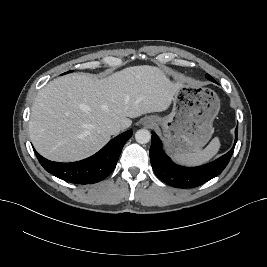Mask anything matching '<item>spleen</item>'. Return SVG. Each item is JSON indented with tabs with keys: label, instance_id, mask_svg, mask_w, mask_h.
<instances>
[{
	"label": "spleen",
	"instance_id": "3e777b00",
	"mask_svg": "<svg viewBox=\"0 0 267 267\" xmlns=\"http://www.w3.org/2000/svg\"><path fill=\"white\" fill-rule=\"evenodd\" d=\"M220 145L219 138L215 137L205 149L195 153H176L174 154V158L176 161L185 165H200L215 156L219 151Z\"/></svg>",
	"mask_w": 267,
	"mask_h": 267
}]
</instances>
